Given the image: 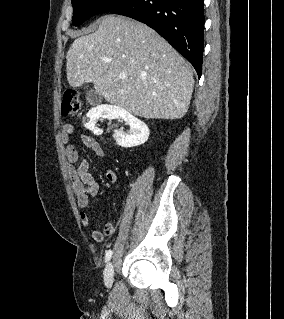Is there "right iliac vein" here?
<instances>
[{
    "mask_svg": "<svg viewBox=\"0 0 284 319\" xmlns=\"http://www.w3.org/2000/svg\"><path fill=\"white\" fill-rule=\"evenodd\" d=\"M114 279V265L112 262H108L104 270V284L107 288H110Z\"/></svg>",
    "mask_w": 284,
    "mask_h": 319,
    "instance_id": "1",
    "label": "right iliac vein"
}]
</instances>
